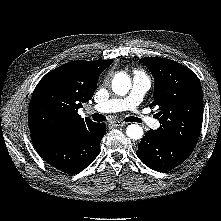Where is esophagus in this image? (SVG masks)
I'll use <instances>...</instances> for the list:
<instances>
[{"instance_id":"1","label":"esophagus","mask_w":221,"mask_h":221,"mask_svg":"<svg viewBox=\"0 0 221 221\" xmlns=\"http://www.w3.org/2000/svg\"><path fill=\"white\" fill-rule=\"evenodd\" d=\"M112 125L115 126V127H122V126L127 125V123L123 122L121 120H115V121L112 122Z\"/></svg>"}]
</instances>
